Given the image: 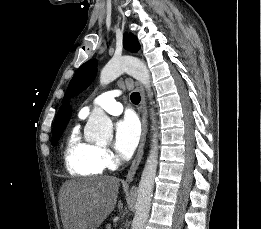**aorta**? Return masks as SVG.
I'll return each mask as SVG.
<instances>
[{
    "mask_svg": "<svg viewBox=\"0 0 261 229\" xmlns=\"http://www.w3.org/2000/svg\"><path fill=\"white\" fill-rule=\"evenodd\" d=\"M122 72H127L130 76H134L137 80H141L146 88H150V72L143 60L136 56H119V58H111L100 72L101 84H108L115 78H118ZM153 115V112H152ZM153 131L151 139V149L142 171L140 183L137 189V201L135 205V217L132 221L131 229H144L150 213L151 201L153 197V189L155 177L157 173L158 157H159V141L156 129L155 117H152ZM87 125H90L89 137L94 139L96 143H101L104 139H111L113 135V123L102 108H93L88 119Z\"/></svg>",
    "mask_w": 261,
    "mask_h": 229,
    "instance_id": "obj_1",
    "label": "aorta"
}]
</instances>
